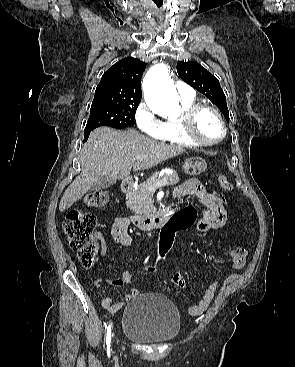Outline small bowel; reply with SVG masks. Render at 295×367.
<instances>
[{
  "instance_id": "c3829d8e",
  "label": "small bowel",
  "mask_w": 295,
  "mask_h": 367,
  "mask_svg": "<svg viewBox=\"0 0 295 367\" xmlns=\"http://www.w3.org/2000/svg\"><path fill=\"white\" fill-rule=\"evenodd\" d=\"M176 197L192 196L195 197L200 205L204 208L202 216L197 224V229L201 233H208L224 226L226 222V212L220 201V197L214 196L208 192L204 186L197 179H188L178 185L174 191ZM130 221L127 217H116L111 227V234L114 240L124 247H129L132 243V238L129 234ZM98 237L101 238L100 234ZM107 246L102 242L101 258L106 252ZM244 264H233L235 269H240ZM154 266V265H152ZM174 282L179 286H184V279L180 273H176L173 278ZM132 281V274L129 270L123 271L121 277L114 280H97L98 286L102 284H109L115 287H120L125 284H130ZM218 287L217 282H212L207 287L203 298L195 305L189 307V313L193 316L202 314L212 302ZM138 291L134 288L130 290L124 300L115 302L110 297H105L101 301V305L110 314H115L126 302L135 298Z\"/></svg>"
}]
</instances>
